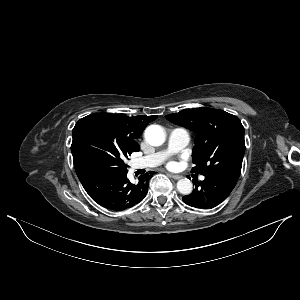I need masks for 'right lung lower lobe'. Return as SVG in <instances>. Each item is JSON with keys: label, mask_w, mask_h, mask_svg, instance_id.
<instances>
[{"label": "right lung lower lobe", "mask_w": 300, "mask_h": 300, "mask_svg": "<svg viewBox=\"0 0 300 300\" xmlns=\"http://www.w3.org/2000/svg\"><path fill=\"white\" fill-rule=\"evenodd\" d=\"M153 171L139 176L133 184L127 173L97 171L80 177L88 195L99 205L113 211H121L141 202L148 191V183Z\"/></svg>", "instance_id": "obj_1"}]
</instances>
